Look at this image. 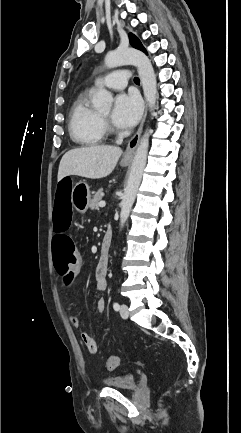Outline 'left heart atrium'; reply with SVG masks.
Here are the masks:
<instances>
[{"instance_id":"1","label":"left heart atrium","mask_w":241,"mask_h":433,"mask_svg":"<svg viewBox=\"0 0 241 433\" xmlns=\"http://www.w3.org/2000/svg\"><path fill=\"white\" fill-rule=\"evenodd\" d=\"M142 113V101L135 93L119 94L114 102L112 121L119 128H131Z\"/></svg>"}]
</instances>
